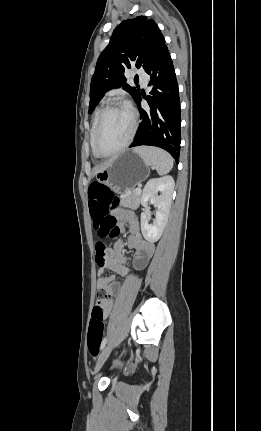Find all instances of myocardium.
Listing matches in <instances>:
<instances>
[{
	"instance_id": "obj_1",
	"label": "myocardium",
	"mask_w": 261,
	"mask_h": 431,
	"mask_svg": "<svg viewBox=\"0 0 261 431\" xmlns=\"http://www.w3.org/2000/svg\"><path fill=\"white\" fill-rule=\"evenodd\" d=\"M117 107L125 108L130 113L131 122H132L131 130H130V133H129L127 139L125 140V142L120 147H118L117 149H115V150H113L111 152H104V151L101 150V148L99 146V134H100L101 127H102V124H103V120H104L105 115L110 110H112L114 108H117ZM136 130H137V116H136V113L133 110V108L130 107L128 104H126L124 102H121V101H116V102L110 103L109 105H107L106 107H104L101 110V112L99 114V117H98V120H97V124H96L95 131H94V140H93L95 152L100 157H110V156H113V155H116V154L122 152L132 142V140L134 138V135L136 133Z\"/></svg>"
}]
</instances>
